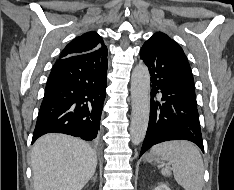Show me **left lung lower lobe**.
I'll return each mask as SVG.
<instances>
[{
    "mask_svg": "<svg viewBox=\"0 0 234 190\" xmlns=\"http://www.w3.org/2000/svg\"><path fill=\"white\" fill-rule=\"evenodd\" d=\"M140 58L149 69L152 83L150 119L140 156L153 145L170 140H189L204 152L196 96L175 79L173 43L161 40L154 47L143 46Z\"/></svg>",
    "mask_w": 234,
    "mask_h": 190,
    "instance_id": "left-lung-lower-lobe-1",
    "label": "left lung lower lobe"
}]
</instances>
